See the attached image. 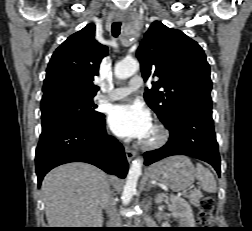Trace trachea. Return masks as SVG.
Returning a JSON list of instances; mask_svg holds the SVG:
<instances>
[{
    "mask_svg": "<svg viewBox=\"0 0 252 231\" xmlns=\"http://www.w3.org/2000/svg\"><path fill=\"white\" fill-rule=\"evenodd\" d=\"M120 30H121V23L120 22H114L112 24V35L114 37H118V35L120 34Z\"/></svg>",
    "mask_w": 252,
    "mask_h": 231,
    "instance_id": "obj_1",
    "label": "trachea"
}]
</instances>
